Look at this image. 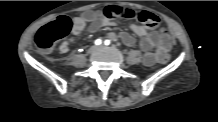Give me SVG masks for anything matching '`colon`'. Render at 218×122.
<instances>
[{"instance_id":"5ec220e1","label":"colon","mask_w":218,"mask_h":122,"mask_svg":"<svg viewBox=\"0 0 218 122\" xmlns=\"http://www.w3.org/2000/svg\"><path fill=\"white\" fill-rule=\"evenodd\" d=\"M104 15L108 18L123 17L136 19L149 28H155L159 25L160 19L157 15L147 11H134L131 9L109 6L104 10ZM71 29V20L67 16H61L56 20L43 26L35 36V43L42 51H50L55 44L64 38ZM173 59L171 54L159 59L161 66L166 65Z\"/></svg>"}]
</instances>
